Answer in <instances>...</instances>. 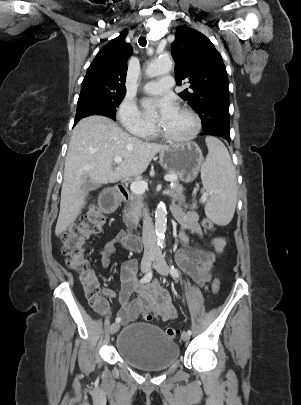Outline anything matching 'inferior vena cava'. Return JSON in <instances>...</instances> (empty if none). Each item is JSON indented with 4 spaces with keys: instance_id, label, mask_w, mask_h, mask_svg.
<instances>
[{
    "instance_id": "obj_1",
    "label": "inferior vena cava",
    "mask_w": 301,
    "mask_h": 405,
    "mask_svg": "<svg viewBox=\"0 0 301 405\" xmlns=\"http://www.w3.org/2000/svg\"><path fill=\"white\" fill-rule=\"evenodd\" d=\"M142 238L144 244V254L147 255L156 253L158 248L156 245L155 230L148 210H146L144 214Z\"/></svg>"
}]
</instances>
